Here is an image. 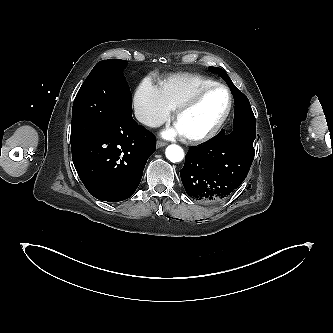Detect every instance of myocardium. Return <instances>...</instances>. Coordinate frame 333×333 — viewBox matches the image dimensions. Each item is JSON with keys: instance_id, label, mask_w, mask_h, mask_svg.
Returning <instances> with one entry per match:
<instances>
[{"instance_id": "myocardium-1", "label": "myocardium", "mask_w": 333, "mask_h": 333, "mask_svg": "<svg viewBox=\"0 0 333 333\" xmlns=\"http://www.w3.org/2000/svg\"><path fill=\"white\" fill-rule=\"evenodd\" d=\"M217 88H223L227 92L228 105H227L225 112L223 113L222 117L218 120V122L205 133H202L199 135H192V136L184 135L185 139L189 143L200 144V143L207 142V141L211 140L212 138H214L220 132V130L223 128V126L227 122V120L232 112L233 103H234L233 94L227 85L216 82V83H213L211 85H208V86H205V87L199 89L196 93H194L189 99H187L185 102H183L175 110L174 123L177 124L179 118L184 113H186L187 111L192 109L194 106H196L208 92H210L214 89H217Z\"/></svg>"}]
</instances>
